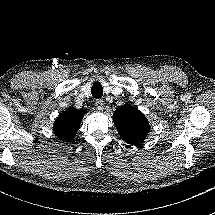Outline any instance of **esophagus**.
<instances>
[{
  "label": "esophagus",
  "mask_w": 215,
  "mask_h": 215,
  "mask_svg": "<svg viewBox=\"0 0 215 215\" xmlns=\"http://www.w3.org/2000/svg\"><path fill=\"white\" fill-rule=\"evenodd\" d=\"M95 107L97 110L99 111H103L104 110V102L103 100H96V102L94 103Z\"/></svg>",
  "instance_id": "1"
}]
</instances>
